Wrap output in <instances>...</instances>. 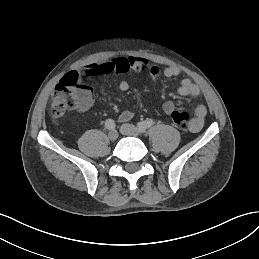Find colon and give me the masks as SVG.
Instances as JSON below:
<instances>
[{"mask_svg":"<svg viewBox=\"0 0 259 259\" xmlns=\"http://www.w3.org/2000/svg\"><path fill=\"white\" fill-rule=\"evenodd\" d=\"M91 88L79 81L75 71L67 73L55 87L50 106V115L58 121L74 109H86L91 105ZM173 123L179 128H187L190 117L187 112L173 110L171 113Z\"/></svg>","mask_w":259,"mask_h":259,"instance_id":"1","label":"colon"}]
</instances>
